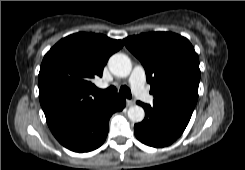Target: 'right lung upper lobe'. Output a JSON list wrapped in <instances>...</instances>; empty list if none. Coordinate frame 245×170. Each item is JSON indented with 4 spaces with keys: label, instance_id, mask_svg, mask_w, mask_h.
<instances>
[{
    "label": "right lung upper lobe",
    "instance_id": "1",
    "mask_svg": "<svg viewBox=\"0 0 245 170\" xmlns=\"http://www.w3.org/2000/svg\"><path fill=\"white\" fill-rule=\"evenodd\" d=\"M121 40L79 32L61 39L44 56L38 76L39 99L48 126L58 138L107 97L95 92L91 79L101 76Z\"/></svg>",
    "mask_w": 245,
    "mask_h": 170
}]
</instances>
